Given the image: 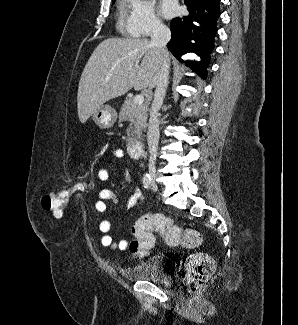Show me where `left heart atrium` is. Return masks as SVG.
Instances as JSON below:
<instances>
[{
    "label": "left heart atrium",
    "mask_w": 298,
    "mask_h": 325,
    "mask_svg": "<svg viewBox=\"0 0 298 325\" xmlns=\"http://www.w3.org/2000/svg\"><path fill=\"white\" fill-rule=\"evenodd\" d=\"M178 12V4L175 0H163L161 3V14L165 18H171Z\"/></svg>",
    "instance_id": "39dd6f15"
}]
</instances>
